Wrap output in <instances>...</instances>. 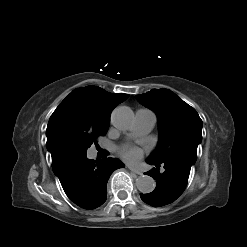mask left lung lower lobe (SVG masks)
Here are the masks:
<instances>
[{"label":"left lung lower lobe","instance_id":"obj_1","mask_svg":"<svg viewBox=\"0 0 247 247\" xmlns=\"http://www.w3.org/2000/svg\"><path fill=\"white\" fill-rule=\"evenodd\" d=\"M147 163L156 166L145 174L157 180V186L152 193L140 194L141 199L154 207H160L175 201L187 185L191 166L178 160L158 163L149 158ZM160 165L164 166L165 170L163 172L159 171Z\"/></svg>","mask_w":247,"mask_h":247}]
</instances>
